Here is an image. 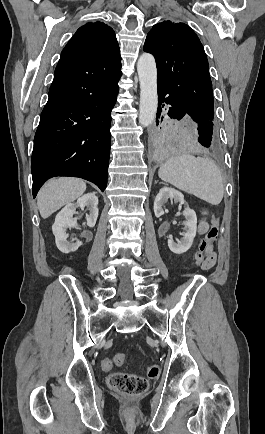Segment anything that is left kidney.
Returning a JSON list of instances; mask_svg holds the SVG:
<instances>
[{
  "instance_id": "left-kidney-1",
  "label": "left kidney",
  "mask_w": 265,
  "mask_h": 434,
  "mask_svg": "<svg viewBox=\"0 0 265 434\" xmlns=\"http://www.w3.org/2000/svg\"><path fill=\"white\" fill-rule=\"evenodd\" d=\"M174 200V202H179V204H185L186 208H184L183 216L186 222H183L186 230L185 234H183L184 238H181L180 242H173V240H168V246L171 252L174 254H184L187 252L189 248L192 246V242L196 236L197 232V218L194 210H190L188 208V204H186L184 200L183 194L178 192V190H174V188H161L159 194H157L154 200V214L156 218H160L165 214L163 210L164 204L168 202V200Z\"/></svg>"
}]
</instances>
